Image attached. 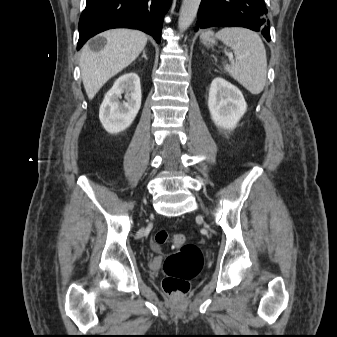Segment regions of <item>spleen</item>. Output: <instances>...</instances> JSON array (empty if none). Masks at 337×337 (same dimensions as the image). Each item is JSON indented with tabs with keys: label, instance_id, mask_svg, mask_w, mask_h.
<instances>
[{
	"label": "spleen",
	"instance_id": "spleen-1",
	"mask_svg": "<svg viewBox=\"0 0 337 337\" xmlns=\"http://www.w3.org/2000/svg\"><path fill=\"white\" fill-rule=\"evenodd\" d=\"M216 38L230 47L236 58L234 64H224V70L251 94L261 93L266 83L267 57L260 36L246 28L227 27L218 31Z\"/></svg>",
	"mask_w": 337,
	"mask_h": 337
}]
</instances>
